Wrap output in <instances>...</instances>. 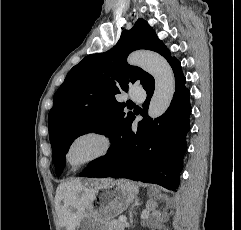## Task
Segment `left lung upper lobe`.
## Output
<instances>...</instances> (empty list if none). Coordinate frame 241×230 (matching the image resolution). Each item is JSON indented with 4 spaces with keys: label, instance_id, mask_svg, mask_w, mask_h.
I'll use <instances>...</instances> for the list:
<instances>
[{
    "label": "left lung upper lobe",
    "instance_id": "left-lung-upper-lobe-1",
    "mask_svg": "<svg viewBox=\"0 0 241 230\" xmlns=\"http://www.w3.org/2000/svg\"><path fill=\"white\" fill-rule=\"evenodd\" d=\"M148 49L169 60L170 51L143 19L130 30H124L118 43L109 51L85 57L67 74L54 94L48 128L56 175L66 164L65 154L74 139L88 132L116 137L123 125L134 116L123 112L124 103L115 95L128 91V84L140 81L143 88L152 76L139 67L127 64V56L135 50Z\"/></svg>",
    "mask_w": 241,
    "mask_h": 230
}]
</instances>
